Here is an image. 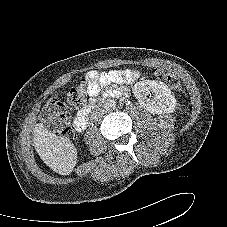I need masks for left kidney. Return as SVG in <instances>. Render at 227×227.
Instances as JSON below:
<instances>
[{"instance_id": "left-kidney-1", "label": "left kidney", "mask_w": 227, "mask_h": 227, "mask_svg": "<svg viewBox=\"0 0 227 227\" xmlns=\"http://www.w3.org/2000/svg\"><path fill=\"white\" fill-rule=\"evenodd\" d=\"M133 93L139 104L154 114L172 113L176 107V98L171 90L161 81L144 80L137 82L133 87ZM154 98H148L149 94Z\"/></svg>"}]
</instances>
